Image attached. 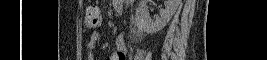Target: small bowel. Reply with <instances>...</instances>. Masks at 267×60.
Wrapping results in <instances>:
<instances>
[{
	"label": "small bowel",
	"mask_w": 267,
	"mask_h": 60,
	"mask_svg": "<svg viewBox=\"0 0 267 60\" xmlns=\"http://www.w3.org/2000/svg\"><path fill=\"white\" fill-rule=\"evenodd\" d=\"M124 1L121 0H116L113 2V7L114 9H121L123 7ZM101 39V32L99 31H94L90 34V39H89V43H88V47L90 49V53H89V59H93V54H92V50L95 48V46L99 43ZM116 51L113 52L110 57L108 58V60H126V44H125V39L123 37L122 34H120L117 38H116Z\"/></svg>",
	"instance_id": "c3829d8e"
}]
</instances>
